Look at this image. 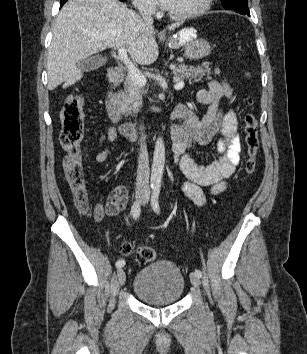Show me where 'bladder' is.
I'll list each match as a JSON object with an SVG mask.
<instances>
[{"mask_svg":"<svg viewBox=\"0 0 307 354\" xmlns=\"http://www.w3.org/2000/svg\"><path fill=\"white\" fill-rule=\"evenodd\" d=\"M185 278L178 266L167 260L152 262L140 269L133 281L135 295L149 305L164 306L180 300Z\"/></svg>","mask_w":307,"mask_h":354,"instance_id":"1","label":"bladder"}]
</instances>
